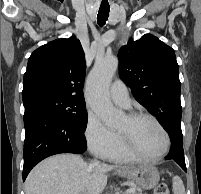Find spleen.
Instances as JSON below:
<instances>
[{"mask_svg": "<svg viewBox=\"0 0 201 194\" xmlns=\"http://www.w3.org/2000/svg\"><path fill=\"white\" fill-rule=\"evenodd\" d=\"M172 181L174 194H185V187L182 179L179 176H174Z\"/></svg>", "mask_w": 201, "mask_h": 194, "instance_id": "obj_1", "label": "spleen"}]
</instances>
